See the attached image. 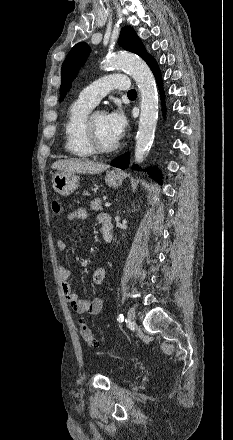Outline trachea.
Masks as SVG:
<instances>
[{
  "label": "trachea",
  "mask_w": 233,
  "mask_h": 440,
  "mask_svg": "<svg viewBox=\"0 0 233 440\" xmlns=\"http://www.w3.org/2000/svg\"><path fill=\"white\" fill-rule=\"evenodd\" d=\"M128 96H136V91L134 89L128 91Z\"/></svg>",
  "instance_id": "trachea-1"
}]
</instances>
